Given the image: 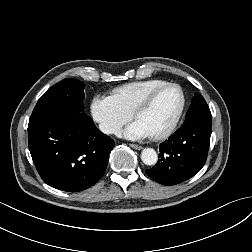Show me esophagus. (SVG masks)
I'll return each mask as SVG.
<instances>
[{
  "instance_id": "1",
  "label": "esophagus",
  "mask_w": 252,
  "mask_h": 252,
  "mask_svg": "<svg viewBox=\"0 0 252 252\" xmlns=\"http://www.w3.org/2000/svg\"><path fill=\"white\" fill-rule=\"evenodd\" d=\"M129 145H130V147H132L135 150H141L143 148L142 146L137 145V144H129Z\"/></svg>"
}]
</instances>
